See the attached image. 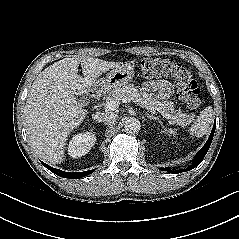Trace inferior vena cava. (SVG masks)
I'll use <instances>...</instances> for the list:
<instances>
[{"mask_svg": "<svg viewBox=\"0 0 239 239\" xmlns=\"http://www.w3.org/2000/svg\"><path fill=\"white\" fill-rule=\"evenodd\" d=\"M93 119H95L96 121L102 122L106 125H110L116 121L117 115L114 114L113 112L97 113L93 116Z\"/></svg>", "mask_w": 239, "mask_h": 239, "instance_id": "602c4592", "label": "inferior vena cava"}]
</instances>
